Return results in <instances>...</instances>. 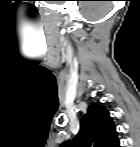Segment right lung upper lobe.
Wrapping results in <instances>:
<instances>
[{"instance_id": "cb5924a9", "label": "right lung upper lobe", "mask_w": 140, "mask_h": 147, "mask_svg": "<svg viewBox=\"0 0 140 147\" xmlns=\"http://www.w3.org/2000/svg\"><path fill=\"white\" fill-rule=\"evenodd\" d=\"M82 118L80 131L75 142H64L62 147H119L116 127L107 109L99 104H91Z\"/></svg>"}]
</instances>
